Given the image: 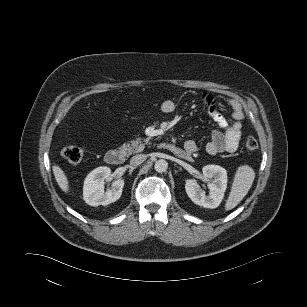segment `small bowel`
<instances>
[{"label":"small bowel","mask_w":307,"mask_h":307,"mask_svg":"<svg viewBox=\"0 0 307 307\" xmlns=\"http://www.w3.org/2000/svg\"><path fill=\"white\" fill-rule=\"evenodd\" d=\"M204 101L208 107L211 119L217 124L218 130L214 131L210 140L205 145V150L210 155L222 152L233 153L237 150L242 137V120L244 117L243 109L239 101L229 99L228 106L231 109L233 122L228 123L224 114L220 111L214 97L206 95ZM176 104L172 100H165L161 104V110L164 113H172ZM175 154L187 158L197 150V144L194 140L185 141L182 147L174 146Z\"/></svg>","instance_id":"1"}]
</instances>
